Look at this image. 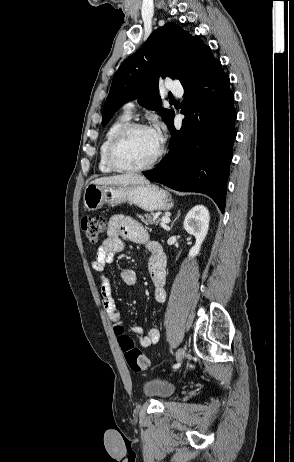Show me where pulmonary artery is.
Instances as JSON below:
<instances>
[{"mask_svg": "<svg viewBox=\"0 0 294 462\" xmlns=\"http://www.w3.org/2000/svg\"><path fill=\"white\" fill-rule=\"evenodd\" d=\"M168 90L175 95H180L182 92L181 86L178 84H170L168 86ZM134 109H135V103L133 101H130L124 105V110L126 112L132 113Z\"/></svg>", "mask_w": 294, "mask_h": 462, "instance_id": "e3ab8cb5", "label": "pulmonary artery"}]
</instances>
